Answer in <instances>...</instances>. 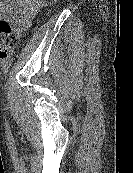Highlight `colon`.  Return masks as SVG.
<instances>
[{"label": "colon", "mask_w": 133, "mask_h": 173, "mask_svg": "<svg viewBox=\"0 0 133 173\" xmlns=\"http://www.w3.org/2000/svg\"><path fill=\"white\" fill-rule=\"evenodd\" d=\"M44 3H53L56 0H43ZM17 43V36L12 31L10 24L5 20H0V58L10 57Z\"/></svg>", "instance_id": "obj_1"}]
</instances>
